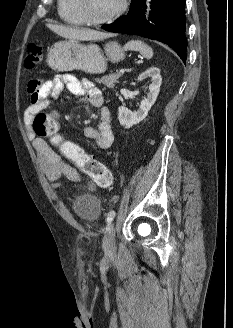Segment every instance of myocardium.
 Returning <instances> with one entry per match:
<instances>
[{
	"label": "myocardium",
	"instance_id": "f54148a6",
	"mask_svg": "<svg viewBox=\"0 0 233 328\" xmlns=\"http://www.w3.org/2000/svg\"><path fill=\"white\" fill-rule=\"evenodd\" d=\"M75 1H76V7L81 13V15L83 16L85 22L92 26H99L114 21L115 19L119 18L122 14H124L129 4V0H122L119 7L116 10H114L112 13H110L109 15L103 18L96 19L89 15L87 11L86 0H75Z\"/></svg>",
	"mask_w": 233,
	"mask_h": 328
}]
</instances>
